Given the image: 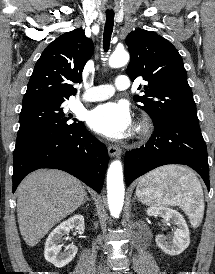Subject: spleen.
I'll use <instances>...</instances> for the list:
<instances>
[{
  "instance_id": "1",
  "label": "spleen",
  "mask_w": 215,
  "mask_h": 274,
  "mask_svg": "<svg viewBox=\"0 0 215 274\" xmlns=\"http://www.w3.org/2000/svg\"><path fill=\"white\" fill-rule=\"evenodd\" d=\"M136 193L149 205L179 206L191 219L204 211L203 190L198 178L187 168L165 166L144 175Z\"/></svg>"
}]
</instances>
